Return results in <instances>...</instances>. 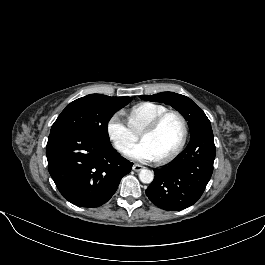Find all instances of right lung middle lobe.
Returning <instances> with one entry per match:
<instances>
[{
    "mask_svg": "<svg viewBox=\"0 0 265 265\" xmlns=\"http://www.w3.org/2000/svg\"><path fill=\"white\" fill-rule=\"evenodd\" d=\"M132 100L106 101L96 94L71 102L58 116L51 132L62 129H78L109 142L108 122L113 114Z\"/></svg>",
    "mask_w": 265,
    "mask_h": 265,
    "instance_id": "1",
    "label": "right lung middle lobe"
}]
</instances>
